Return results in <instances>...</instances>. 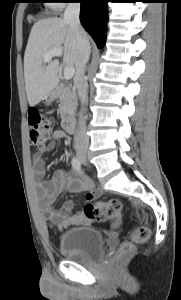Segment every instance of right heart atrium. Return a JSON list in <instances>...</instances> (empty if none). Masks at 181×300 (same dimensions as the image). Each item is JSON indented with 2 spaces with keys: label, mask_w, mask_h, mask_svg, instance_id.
Wrapping results in <instances>:
<instances>
[{
  "label": "right heart atrium",
  "mask_w": 181,
  "mask_h": 300,
  "mask_svg": "<svg viewBox=\"0 0 181 300\" xmlns=\"http://www.w3.org/2000/svg\"><path fill=\"white\" fill-rule=\"evenodd\" d=\"M53 7L55 9H61L64 5V1L63 0H53Z\"/></svg>",
  "instance_id": "1"
}]
</instances>
